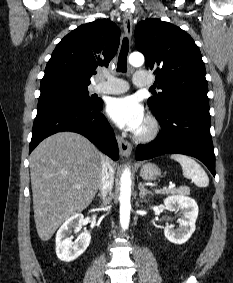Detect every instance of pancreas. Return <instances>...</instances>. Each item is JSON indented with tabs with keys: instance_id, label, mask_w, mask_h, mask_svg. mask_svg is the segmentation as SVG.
<instances>
[{
	"instance_id": "cf45deb5",
	"label": "pancreas",
	"mask_w": 233,
	"mask_h": 283,
	"mask_svg": "<svg viewBox=\"0 0 233 283\" xmlns=\"http://www.w3.org/2000/svg\"><path fill=\"white\" fill-rule=\"evenodd\" d=\"M161 194L189 195V194H190V190H189V188H187V187H183V188H178V189L167 190V191L161 192Z\"/></svg>"
}]
</instances>
